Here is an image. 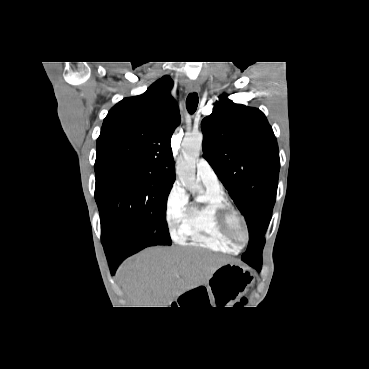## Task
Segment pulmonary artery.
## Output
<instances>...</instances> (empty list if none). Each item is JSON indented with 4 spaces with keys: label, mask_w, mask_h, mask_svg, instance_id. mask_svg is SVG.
Here are the masks:
<instances>
[{
    "label": "pulmonary artery",
    "mask_w": 369,
    "mask_h": 369,
    "mask_svg": "<svg viewBox=\"0 0 369 369\" xmlns=\"http://www.w3.org/2000/svg\"><path fill=\"white\" fill-rule=\"evenodd\" d=\"M196 173L198 179L207 187L220 190L221 186L218 177L212 166L205 158H201L196 163Z\"/></svg>",
    "instance_id": "e3ab8cb5"
}]
</instances>
